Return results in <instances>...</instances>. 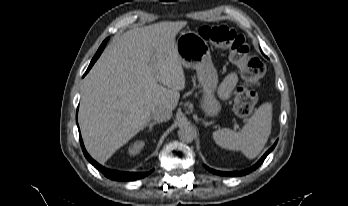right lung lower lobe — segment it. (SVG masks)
<instances>
[{
	"instance_id": "right-lung-lower-lobe-1",
	"label": "right lung lower lobe",
	"mask_w": 348,
	"mask_h": 206,
	"mask_svg": "<svg viewBox=\"0 0 348 206\" xmlns=\"http://www.w3.org/2000/svg\"><path fill=\"white\" fill-rule=\"evenodd\" d=\"M108 41V39H106L100 46V48L98 49L96 55L94 56V58L92 59L87 71L85 72L84 75H86L88 73V71L91 69V67L93 66V64L95 63V61L98 59V57L100 56V54L102 53L106 42ZM80 143L82 146V150L83 153L85 155V157L88 159V161L99 171H101L106 177L113 179V180H117V181H132L135 179H140L143 178L145 176H147L150 172L147 173H136V172H119V171H114V170H110L107 169L103 166H101L100 164H98L96 161H94L89 154L87 153V151L85 150V147L83 145V141L81 139L80 136Z\"/></svg>"
}]
</instances>
